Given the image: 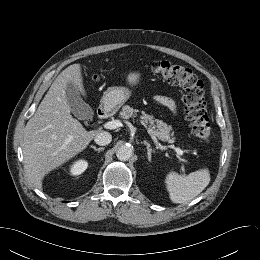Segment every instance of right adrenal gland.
<instances>
[{"instance_id":"right-adrenal-gland-1","label":"right adrenal gland","mask_w":260,"mask_h":260,"mask_svg":"<svg viewBox=\"0 0 260 260\" xmlns=\"http://www.w3.org/2000/svg\"><path fill=\"white\" fill-rule=\"evenodd\" d=\"M91 148L94 149L95 151H98V152L104 150L103 147L96 148V146H91Z\"/></svg>"}]
</instances>
